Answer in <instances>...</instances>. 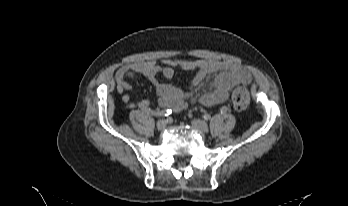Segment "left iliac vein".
<instances>
[{
    "label": "left iliac vein",
    "instance_id": "4c4485c4",
    "mask_svg": "<svg viewBox=\"0 0 348 206\" xmlns=\"http://www.w3.org/2000/svg\"><path fill=\"white\" fill-rule=\"evenodd\" d=\"M192 126L203 132V133H207L209 131V127L207 125V123L203 120H200V119H194L192 122H191Z\"/></svg>",
    "mask_w": 348,
    "mask_h": 206
}]
</instances>
